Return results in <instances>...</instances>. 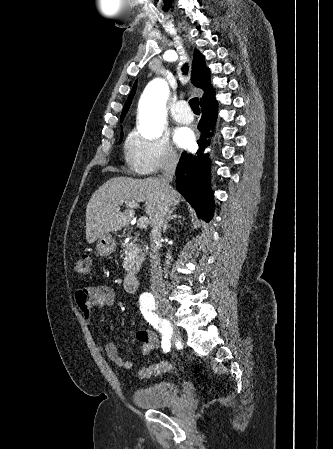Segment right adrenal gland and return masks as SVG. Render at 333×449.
<instances>
[{"label":"right adrenal gland","instance_id":"1","mask_svg":"<svg viewBox=\"0 0 333 449\" xmlns=\"http://www.w3.org/2000/svg\"><path fill=\"white\" fill-rule=\"evenodd\" d=\"M174 211H175V208H171V210L168 212V216H167L164 226H163V232H165L167 230L169 222L171 220L176 219V218H180V219L183 218L181 215L173 214Z\"/></svg>","mask_w":333,"mask_h":449}]
</instances>
